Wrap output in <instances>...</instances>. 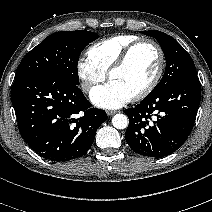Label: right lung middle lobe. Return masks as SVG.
<instances>
[{
	"label": "right lung middle lobe",
	"instance_id": "dd1d6c3e",
	"mask_svg": "<svg viewBox=\"0 0 212 212\" xmlns=\"http://www.w3.org/2000/svg\"><path fill=\"white\" fill-rule=\"evenodd\" d=\"M98 37V34L85 30L62 31L48 36L23 58L15 79L51 74L78 85V57L82 50Z\"/></svg>",
	"mask_w": 212,
	"mask_h": 212
}]
</instances>
